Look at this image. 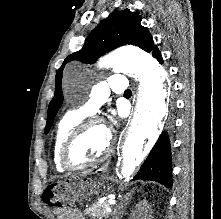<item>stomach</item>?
I'll return each mask as SVG.
<instances>
[{"mask_svg":"<svg viewBox=\"0 0 221 219\" xmlns=\"http://www.w3.org/2000/svg\"><path fill=\"white\" fill-rule=\"evenodd\" d=\"M97 178H68V183H80L81 186H76L74 195H79V199H75V204H88V199H92L93 194H99L102 187L111 189V186L97 182ZM72 196L73 198L75 196Z\"/></svg>","mask_w":221,"mask_h":219,"instance_id":"stomach-1","label":"stomach"}]
</instances>
